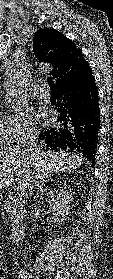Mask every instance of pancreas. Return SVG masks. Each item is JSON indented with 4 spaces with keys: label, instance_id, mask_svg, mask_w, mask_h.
<instances>
[{
    "label": "pancreas",
    "instance_id": "pancreas-1",
    "mask_svg": "<svg viewBox=\"0 0 113 279\" xmlns=\"http://www.w3.org/2000/svg\"><path fill=\"white\" fill-rule=\"evenodd\" d=\"M4 208L12 214V226L18 224L23 214V200L20 196L9 194L4 201Z\"/></svg>",
    "mask_w": 113,
    "mask_h": 279
}]
</instances>
